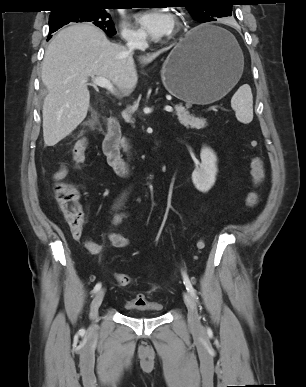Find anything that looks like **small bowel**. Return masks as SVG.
Masks as SVG:
<instances>
[{"label": "small bowel", "mask_w": 306, "mask_h": 387, "mask_svg": "<svg viewBox=\"0 0 306 387\" xmlns=\"http://www.w3.org/2000/svg\"><path fill=\"white\" fill-rule=\"evenodd\" d=\"M68 174V168L64 162L59 163L58 169L52 174V179L54 181H59L64 179ZM125 217V214L122 212L116 211L112 218V225H117L120 223L123 218ZM109 241L111 242L112 246L116 248H125L129 245V240L125 238L122 235L110 232L108 234ZM85 247L90 253H98L101 249V245L97 243L96 241L92 240L91 238H87L85 241ZM133 305H141L144 303V298L139 296L136 299L130 301Z\"/></svg>", "instance_id": "obj_1"}]
</instances>
